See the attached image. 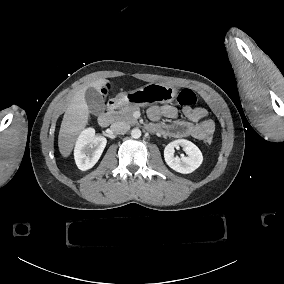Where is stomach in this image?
I'll use <instances>...</instances> for the list:
<instances>
[{
  "label": "stomach",
  "instance_id": "1",
  "mask_svg": "<svg viewBox=\"0 0 284 284\" xmlns=\"http://www.w3.org/2000/svg\"><path fill=\"white\" fill-rule=\"evenodd\" d=\"M176 96V88L162 83H150L132 92L120 93L115 101L121 106H149L157 103H172Z\"/></svg>",
  "mask_w": 284,
  "mask_h": 284
}]
</instances>
